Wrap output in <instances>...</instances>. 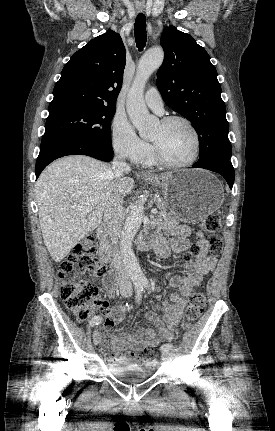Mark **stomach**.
<instances>
[{
  "label": "stomach",
  "instance_id": "stomach-1",
  "mask_svg": "<svg viewBox=\"0 0 275 431\" xmlns=\"http://www.w3.org/2000/svg\"><path fill=\"white\" fill-rule=\"evenodd\" d=\"M145 180L161 189L171 213L183 222H197L218 210L223 202L220 182L202 169L178 170Z\"/></svg>",
  "mask_w": 275,
  "mask_h": 431
}]
</instances>
